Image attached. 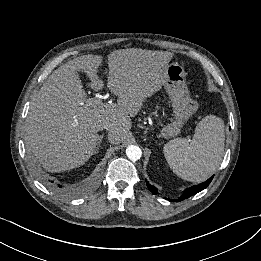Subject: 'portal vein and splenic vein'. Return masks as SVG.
Segmentation results:
<instances>
[{
    "mask_svg": "<svg viewBox=\"0 0 261 261\" xmlns=\"http://www.w3.org/2000/svg\"><path fill=\"white\" fill-rule=\"evenodd\" d=\"M101 104H102V100L99 97L90 98L87 101V105L91 106V107H96V106L101 105Z\"/></svg>",
    "mask_w": 261,
    "mask_h": 261,
    "instance_id": "1",
    "label": "portal vein and splenic vein"
}]
</instances>
